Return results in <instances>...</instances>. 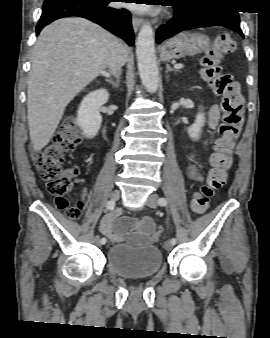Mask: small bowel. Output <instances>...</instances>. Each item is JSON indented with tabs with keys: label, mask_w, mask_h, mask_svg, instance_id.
I'll list each match as a JSON object with an SVG mask.
<instances>
[{
	"label": "small bowel",
	"mask_w": 270,
	"mask_h": 338,
	"mask_svg": "<svg viewBox=\"0 0 270 338\" xmlns=\"http://www.w3.org/2000/svg\"><path fill=\"white\" fill-rule=\"evenodd\" d=\"M219 107L212 105L209 110V124L211 127H215L219 117ZM187 176L194 180H201V173L196 165H189L186 169ZM87 192L84 190L81 195V201L83 206L87 203ZM119 211L113 210L106 213L102 218L100 224V231L103 235L107 236L113 242L121 241H140L146 244H152L158 240L159 234L155 231V225L153 221L145 217L141 220H136L128 216H121L119 218ZM127 223H135L138 225L136 228H129Z\"/></svg>",
	"instance_id": "1"
}]
</instances>
